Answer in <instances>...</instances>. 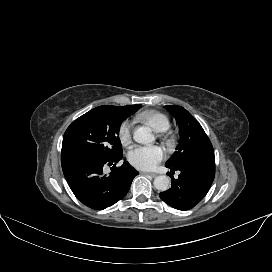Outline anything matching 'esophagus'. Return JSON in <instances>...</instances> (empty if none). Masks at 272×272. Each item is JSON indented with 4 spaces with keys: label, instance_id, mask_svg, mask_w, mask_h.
Instances as JSON below:
<instances>
[{
    "label": "esophagus",
    "instance_id": "obj_1",
    "mask_svg": "<svg viewBox=\"0 0 272 272\" xmlns=\"http://www.w3.org/2000/svg\"><path fill=\"white\" fill-rule=\"evenodd\" d=\"M144 175H147V176H150V177H156L157 174L156 173H146V172H143Z\"/></svg>",
    "mask_w": 272,
    "mask_h": 272
}]
</instances>
